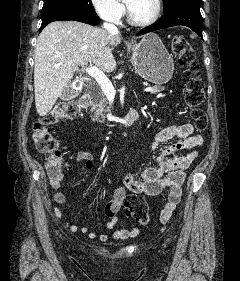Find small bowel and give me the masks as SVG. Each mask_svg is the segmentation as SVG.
<instances>
[{"label": "small bowel", "instance_id": "c3829d8e", "mask_svg": "<svg viewBox=\"0 0 240 281\" xmlns=\"http://www.w3.org/2000/svg\"><path fill=\"white\" fill-rule=\"evenodd\" d=\"M163 144L167 145L160 149ZM202 145L203 137L194 133V128L190 123L170 125L158 132L151 145L153 151H159L156 165L147 167L138 173H129L124 177L123 184L114 191L112 199L104 207V215L108 219L107 229H113L115 226L118 213L128 191L156 196L169 188L168 202L160 215L161 222H167L181 200L182 184L185 180L186 170L196 158L198 149ZM183 151H188V153L182 154ZM76 160L89 170L94 166L93 155L88 151H79L76 154ZM62 167H68V164L62 162L61 169L57 175L49 174V183L56 190L60 188L64 179ZM54 200L60 205L66 202L64 194L60 191L55 193ZM53 211L58 218H63L58 208H54ZM69 229L72 232L88 233L92 239L98 238L101 241L108 239L107 235L89 232L87 226L79 227L72 224ZM138 233L139 230L132 227L115 230L112 232L111 237L114 239H129L136 237Z\"/></svg>", "mask_w": 240, "mask_h": 281}]
</instances>
